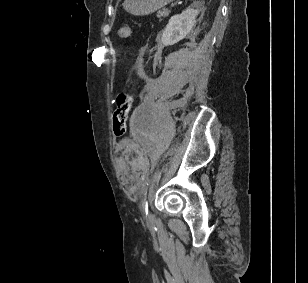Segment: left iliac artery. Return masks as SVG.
I'll use <instances>...</instances> for the list:
<instances>
[{
	"mask_svg": "<svg viewBox=\"0 0 308 283\" xmlns=\"http://www.w3.org/2000/svg\"><path fill=\"white\" fill-rule=\"evenodd\" d=\"M142 212L143 214L148 215V202H147V192H145L143 194V198H142Z\"/></svg>",
	"mask_w": 308,
	"mask_h": 283,
	"instance_id": "1",
	"label": "left iliac artery"
}]
</instances>
